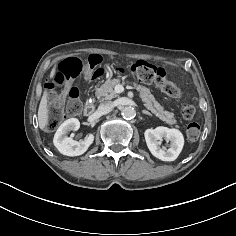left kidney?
<instances>
[{"label":"left kidney","instance_id":"left-kidney-1","mask_svg":"<svg viewBox=\"0 0 236 236\" xmlns=\"http://www.w3.org/2000/svg\"><path fill=\"white\" fill-rule=\"evenodd\" d=\"M144 136L152 155L162 161H174L179 156L184 145L183 135L177 129L159 126L155 129H147ZM163 139L170 141L168 149L160 147V142Z\"/></svg>","mask_w":236,"mask_h":236}]
</instances>
